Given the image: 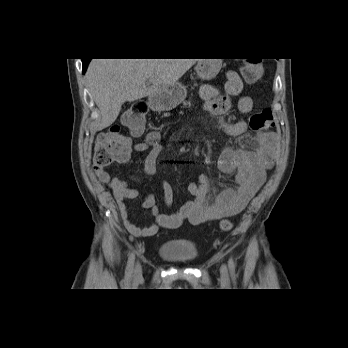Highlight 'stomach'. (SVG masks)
<instances>
[{
  "label": "stomach",
  "mask_w": 348,
  "mask_h": 348,
  "mask_svg": "<svg viewBox=\"0 0 348 348\" xmlns=\"http://www.w3.org/2000/svg\"><path fill=\"white\" fill-rule=\"evenodd\" d=\"M221 66V59H199L195 70L200 79L211 80L219 73ZM186 94V88L177 82L167 89L154 94L150 98V104L156 111H168L183 102Z\"/></svg>",
  "instance_id": "0dacf381"
}]
</instances>
